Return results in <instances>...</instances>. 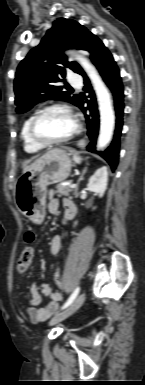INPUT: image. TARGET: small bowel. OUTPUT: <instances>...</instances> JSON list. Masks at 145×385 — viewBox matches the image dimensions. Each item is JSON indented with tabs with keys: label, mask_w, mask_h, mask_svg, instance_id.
I'll list each match as a JSON object with an SVG mask.
<instances>
[{
	"label": "small bowel",
	"mask_w": 145,
	"mask_h": 385,
	"mask_svg": "<svg viewBox=\"0 0 145 385\" xmlns=\"http://www.w3.org/2000/svg\"><path fill=\"white\" fill-rule=\"evenodd\" d=\"M63 207L66 211H71L73 217L76 214V206L70 200H64L62 203L56 198L51 197L48 203V211L51 214H56L59 212L60 207ZM72 217V218H73ZM61 248V238L59 235H54L50 243L51 253L57 254ZM55 280L57 285L62 288L63 281L59 272L55 273ZM30 300L29 305L26 308V311L32 322H42L46 320L57 308L59 302L63 301L64 296L61 292L53 290L48 284L36 281L30 288ZM42 295L48 296L51 301L43 308H38V305L42 301Z\"/></svg>",
	"instance_id": "small-bowel-1"
}]
</instances>
